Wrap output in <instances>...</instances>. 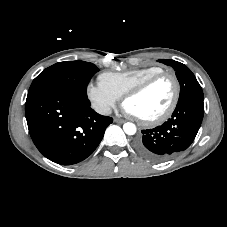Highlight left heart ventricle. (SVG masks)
I'll use <instances>...</instances> for the list:
<instances>
[{
  "label": "left heart ventricle",
  "instance_id": "1",
  "mask_svg": "<svg viewBox=\"0 0 227 227\" xmlns=\"http://www.w3.org/2000/svg\"><path fill=\"white\" fill-rule=\"evenodd\" d=\"M174 94V85L169 77L161 78L140 95L129 98L125 105L137 117L150 119L160 115L169 106Z\"/></svg>",
  "mask_w": 227,
  "mask_h": 227
}]
</instances>
